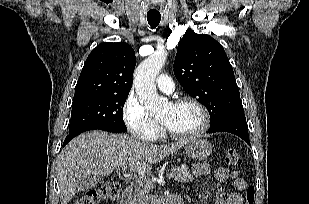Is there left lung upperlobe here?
Masks as SVG:
<instances>
[{
    "instance_id": "1",
    "label": "left lung upper lobe",
    "mask_w": 309,
    "mask_h": 204,
    "mask_svg": "<svg viewBox=\"0 0 309 204\" xmlns=\"http://www.w3.org/2000/svg\"><path fill=\"white\" fill-rule=\"evenodd\" d=\"M174 74L183 89L205 105L211 125L244 112L229 59L211 36L186 31L178 44Z\"/></svg>"
}]
</instances>
